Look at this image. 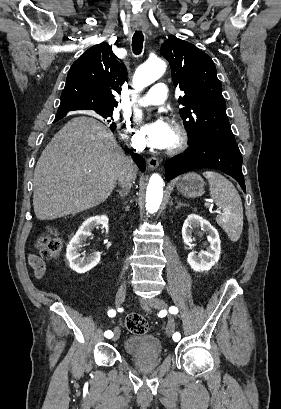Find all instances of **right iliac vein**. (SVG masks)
Segmentation results:
<instances>
[{
  "label": "right iliac vein",
  "mask_w": 281,
  "mask_h": 409,
  "mask_svg": "<svg viewBox=\"0 0 281 409\" xmlns=\"http://www.w3.org/2000/svg\"><path fill=\"white\" fill-rule=\"evenodd\" d=\"M125 296H126V286L124 284H122L116 293V297H115V304L116 307H120L122 305V303L125 300ZM120 336V329L118 327L115 328L114 330V336L112 337L113 341H116Z\"/></svg>",
  "instance_id": "right-iliac-vein-1"
}]
</instances>
